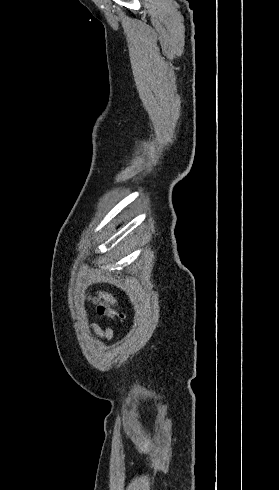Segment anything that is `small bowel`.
<instances>
[{
    "label": "small bowel",
    "instance_id": "small-bowel-1",
    "mask_svg": "<svg viewBox=\"0 0 279 490\" xmlns=\"http://www.w3.org/2000/svg\"><path fill=\"white\" fill-rule=\"evenodd\" d=\"M91 329L95 332V334L104 341H109L113 337V330L110 327H101L97 323H92Z\"/></svg>",
    "mask_w": 279,
    "mask_h": 490
}]
</instances>
